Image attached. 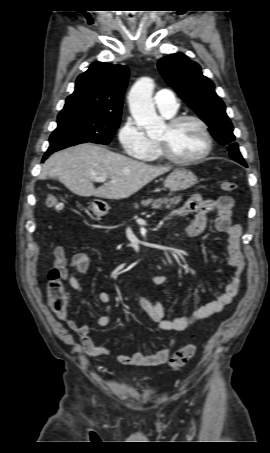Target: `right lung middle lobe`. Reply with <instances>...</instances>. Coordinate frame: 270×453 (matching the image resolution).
Returning a JSON list of instances; mask_svg holds the SVG:
<instances>
[{
    "label": "right lung middle lobe",
    "mask_w": 270,
    "mask_h": 453,
    "mask_svg": "<svg viewBox=\"0 0 270 453\" xmlns=\"http://www.w3.org/2000/svg\"><path fill=\"white\" fill-rule=\"evenodd\" d=\"M119 123L120 117L92 112L58 117V126L50 136L47 151H57L85 142L108 144Z\"/></svg>",
    "instance_id": "obj_1"
}]
</instances>
